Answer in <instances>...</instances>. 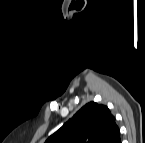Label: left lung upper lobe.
<instances>
[{
  "label": "left lung upper lobe",
  "instance_id": "left-lung-upper-lobe-1",
  "mask_svg": "<svg viewBox=\"0 0 145 143\" xmlns=\"http://www.w3.org/2000/svg\"><path fill=\"white\" fill-rule=\"evenodd\" d=\"M120 130L110 110L95 102L82 107L46 143H119Z\"/></svg>",
  "mask_w": 145,
  "mask_h": 143
}]
</instances>
